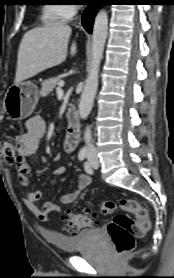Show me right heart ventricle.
I'll use <instances>...</instances> for the list:
<instances>
[{
  "label": "right heart ventricle",
  "instance_id": "obj_1",
  "mask_svg": "<svg viewBox=\"0 0 174 278\" xmlns=\"http://www.w3.org/2000/svg\"><path fill=\"white\" fill-rule=\"evenodd\" d=\"M42 20L47 25H54L67 20V18L63 14V5H45L42 11Z\"/></svg>",
  "mask_w": 174,
  "mask_h": 278
}]
</instances>
